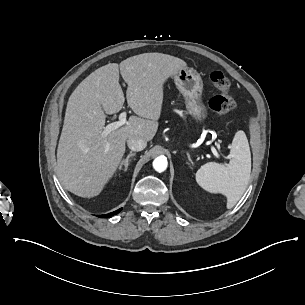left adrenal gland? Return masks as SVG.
Wrapping results in <instances>:
<instances>
[{
  "label": "left adrenal gland",
  "mask_w": 305,
  "mask_h": 305,
  "mask_svg": "<svg viewBox=\"0 0 305 305\" xmlns=\"http://www.w3.org/2000/svg\"><path fill=\"white\" fill-rule=\"evenodd\" d=\"M186 155H187L188 160L190 161V163L193 165L194 163H193V161H192V159H191V157H190V154L187 152Z\"/></svg>",
  "instance_id": "left-adrenal-gland-1"
}]
</instances>
